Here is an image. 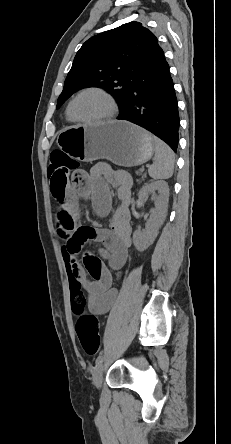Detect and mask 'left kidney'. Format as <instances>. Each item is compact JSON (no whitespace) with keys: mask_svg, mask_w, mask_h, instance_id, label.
Listing matches in <instances>:
<instances>
[{"mask_svg":"<svg viewBox=\"0 0 231 444\" xmlns=\"http://www.w3.org/2000/svg\"><path fill=\"white\" fill-rule=\"evenodd\" d=\"M149 195L154 197L155 208L151 210L145 230L133 233V243L139 251H144L153 244L165 220L169 201L168 183L165 181H155L145 184L139 191L138 197L141 201H144Z\"/></svg>","mask_w":231,"mask_h":444,"instance_id":"1","label":"left kidney"}]
</instances>
